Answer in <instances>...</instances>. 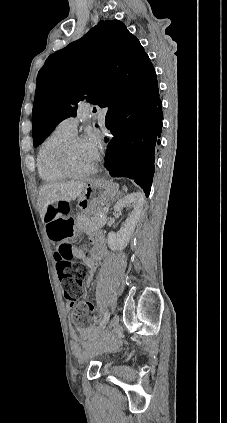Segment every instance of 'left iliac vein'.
Listing matches in <instances>:
<instances>
[{"label": "left iliac vein", "instance_id": "left-iliac-vein-1", "mask_svg": "<svg viewBox=\"0 0 227 423\" xmlns=\"http://www.w3.org/2000/svg\"><path fill=\"white\" fill-rule=\"evenodd\" d=\"M119 321H120V319H119V315L118 314H115L114 316H113V318L110 320V322H109V325H108V330H115L116 329V327H117V325L119 324Z\"/></svg>", "mask_w": 227, "mask_h": 423}]
</instances>
